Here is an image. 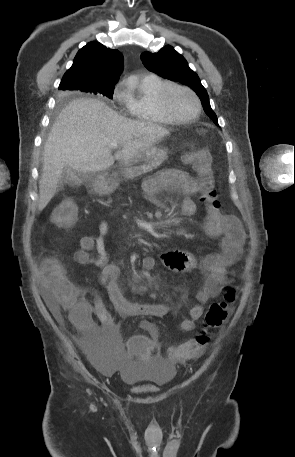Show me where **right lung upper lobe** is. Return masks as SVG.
Instances as JSON below:
<instances>
[{
  "label": "right lung upper lobe",
  "mask_w": 295,
  "mask_h": 457,
  "mask_svg": "<svg viewBox=\"0 0 295 457\" xmlns=\"http://www.w3.org/2000/svg\"><path fill=\"white\" fill-rule=\"evenodd\" d=\"M122 69L123 55L118 50L92 41L78 51L72 67L64 74L59 89L75 90L72 86L80 83L90 86L91 90L115 85Z\"/></svg>",
  "instance_id": "cb5924a9"
}]
</instances>
